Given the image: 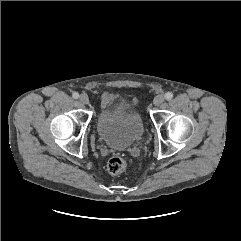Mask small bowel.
<instances>
[{
    "label": "small bowel",
    "mask_w": 241,
    "mask_h": 241,
    "mask_svg": "<svg viewBox=\"0 0 241 241\" xmlns=\"http://www.w3.org/2000/svg\"><path fill=\"white\" fill-rule=\"evenodd\" d=\"M116 97L110 93H105L102 97L101 105L103 108L113 105Z\"/></svg>",
    "instance_id": "c3829d8e"
}]
</instances>
